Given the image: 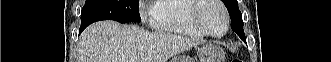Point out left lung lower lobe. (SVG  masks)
<instances>
[{"label":"left lung lower lobe","instance_id":"left-lung-lower-lobe-1","mask_svg":"<svg viewBox=\"0 0 331 62\" xmlns=\"http://www.w3.org/2000/svg\"><path fill=\"white\" fill-rule=\"evenodd\" d=\"M231 28L234 32L237 33V35H239V37H241L243 40H245L244 31H243V29H241V27H238L235 24H231Z\"/></svg>","mask_w":331,"mask_h":62}]
</instances>
